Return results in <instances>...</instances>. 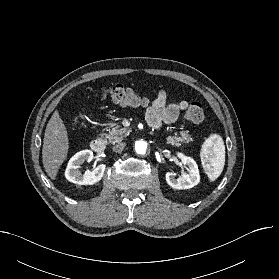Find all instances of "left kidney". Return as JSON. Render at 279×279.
Returning <instances> with one entry per match:
<instances>
[{"label":"left kidney","instance_id":"left-kidney-1","mask_svg":"<svg viewBox=\"0 0 279 279\" xmlns=\"http://www.w3.org/2000/svg\"><path fill=\"white\" fill-rule=\"evenodd\" d=\"M182 164L188 166L189 173H183L181 177L175 178L173 173L167 172L165 175L166 182L174 189H190L200 182V174L198 165L191 157L185 156L182 153H177Z\"/></svg>","mask_w":279,"mask_h":279}]
</instances>
